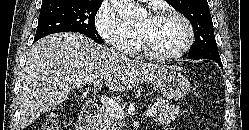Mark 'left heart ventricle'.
<instances>
[{
  "mask_svg": "<svg viewBox=\"0 0 249 130\" xmlns=\"http://www.w3.org/2000/svg\"><path fill=\"white\" fill-rule=\"evenodd\" d=\"M150 50L156 53H169L176 50L184 41V25L169 16H146L136 27Z\"/></svg>",
  "mask_w": 249,
  "mask_h": 130,
  "instance_id": "1",
  "label": "left heart ventricle"
}]
</instances>
